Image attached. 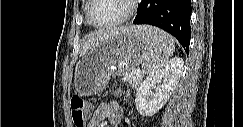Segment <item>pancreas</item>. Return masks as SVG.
Wrapping results in <instances>:
<instances>
[{
    "mask_svg": "<svg viewBox=\"0 0 243 127\" xmlns=\"http://www.w3.org/2000/svg\"><path fill=\"white\" fill-rule=\"evenodd\" d=\"M130 85H132L133 88L137 89L139 84L141 83V76H136L133 72L128 75L127 78Z\"/></svg>",
    "mask_w": 243,
    "mask_h": 127,
    "instance_id": "pancreas-1",
    "label": "pancreas"
}]
</instances>
